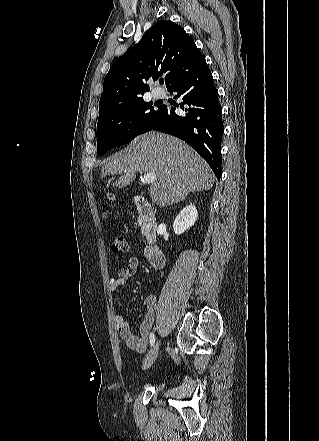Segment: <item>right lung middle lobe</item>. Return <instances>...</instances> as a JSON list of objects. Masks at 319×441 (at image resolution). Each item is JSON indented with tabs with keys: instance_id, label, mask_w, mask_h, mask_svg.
Masks as SVG:
<instances>
[{
	"instance_id": "dd1d6c3e",
	"label": "right lung middle lobe",
	"mask_w": 319,
	"mask_h": 441,
	"mask_svg": "<svg viewBox=\"0 0 319 441\" xmlns=\"http://www.w3.org/2000/svg\"><path fill=\"white\" fill-rule=\"evenodd\" d=\"M162 106L154 110L152 102L143 99L100 110L97 123V154L133 140L150 131L158 120Z\"/></svg>"
}]
</instances>
